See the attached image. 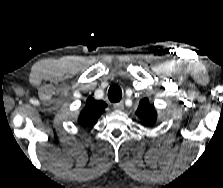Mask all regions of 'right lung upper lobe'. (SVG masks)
Here are the masks:
<instances>
[{
    "label": "right lung upper lobe",
    "mask_w": 223,
    "mask_h": 188,
    "mask_svg": "<svg viewBox=\"0 0 223 188\" xmlns=\"http://www.w3.org/2000/svg\"><path fill=\"white\" fill-rule=\"evenodd\" d=\"M107 104L90 97L86 100V105L78 119L81 125H91L96 123L98 118L104 113Z\"/></svg>",
    "instance_id": "obj_1"
}]
</instances>
